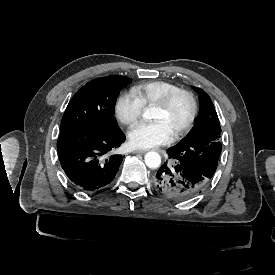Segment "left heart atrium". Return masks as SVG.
Listing matches in <instances>:
<instances>
[{"label": "left heart atrium", "mask_w": 275, "mask_h": 275, "mask_svg": "<svg viewBox=\"0 0 275 275\" xmlns=\"http://www.w3.org/2000/svg\"><path fill=\"white\" fill-rule=\"evenodd\" d=\"M172 138L169 130L158 121L141 123L128 133V142L133 148H151L169 142Z\"/></svg>", "instance_id": "left-heart-atrium-1"}]
</instances>
